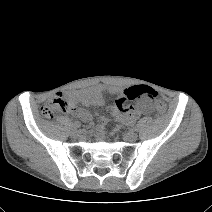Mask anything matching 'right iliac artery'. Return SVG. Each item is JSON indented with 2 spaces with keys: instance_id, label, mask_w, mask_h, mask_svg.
I'll return each mask as SVG.
<instances>
[{
  "instance_id": "1",
  "label": "right iliac artery",
  "mask_w": 212,
  "mask_h": 212,
  "mask_svg": "<svg viewBox=\"0 0 212 212\" xmlns=\"http://www.w3.org/2000/svg\"><path fill=\"white\" fill-rule=\"evenodd\" d=\"M81 126V124L79 123V122H73L72 123V127L74 128V129H77V128H79Z\"/></svg>"
}]
</instances>
